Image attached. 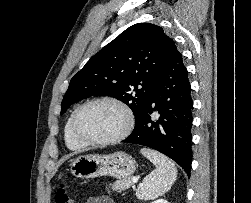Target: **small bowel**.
I'll return each mask as SVG.
<instances>
[{
    "label": "small bowel",
    "mask_w": 251,
    "mask_h": 203,
    "mask_svg": "<svg viewBox=\"0 0 251 203\" xmlns=\"http://www.w3.org/2000/svg\"><path fill=\"white\" fill-rule=\"evenodd\" d=\"M86 203H114L108 196H97L89 198Z\"/></svg>",
    "instance_id": "c3829d8e"
}]
</instances>
